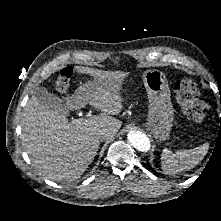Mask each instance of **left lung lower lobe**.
I'll return each instance as SVG.
<instances>
[{
	"label": "left lung lower lobe",
	"instance_id": "1",
	"mask_svg": "<svg viewBox=\"0 0 221 221\" xmlns=\"http://www.w3.org/2000/svg\"><path fill=\"white\" fill-rule=\"evenodd\" d=\"M148 167L150 168V169H152V167L148 164ZM152 171H154L153 169H152Z\"/></svg>",
	"mask_w": 221,
	"mask_h": 221
}]
</instances>
